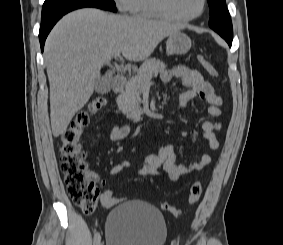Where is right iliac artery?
Returning <instances> with one entry per match:
<instances>
[{"mask_svg":"<svg viewBox=\"0 0 283 245\" xmlns=\"http://www.w3.org/2000/svg\"><path fill=\"white\" fill-rule=\"evenodd\" d=\"M100 241H101V236L99 233H96L94 236V245H99Z\"/></svg>","mask_w":283,"mask_h":245,"instance_id":"right-iliac-artery-1","label":"right iliac artery"}]
</instances>
